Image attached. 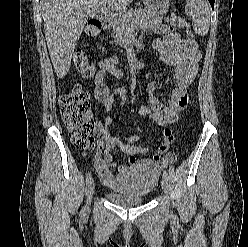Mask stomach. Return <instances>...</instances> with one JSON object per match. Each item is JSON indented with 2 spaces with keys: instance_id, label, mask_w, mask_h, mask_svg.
Wrapping results in <instances>:
<instances>
[{
  "instance_id": "stomach-1",
  "label": "stomach",
  "mask_w": 248,
  "mask_h": 247,
  "mask_svg": "<svg viewBox=\"0 0 248 247\" xmlns=\"http://www.w3.org/2000/svg\"><path fill=\"white\" fill-rule=\"evenodd\" d=\"M146 7L154 12L166 13L170 6V0H143Z\"/></svg>"
}]
</instances>
